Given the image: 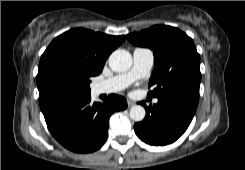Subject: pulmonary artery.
<instances>
[{
    "label": "pulmonary artery",
    "mask_w": 245,
    "mask_h": 170,
    "mask_svg": "<svg viewBox=\"0 0 245 170\" xmlns=\"http://www.w3.org/2000/svg\"><path fill=\"white\" fill-rule=\"evenodd\" d=\"M154 62V54L148 48H136L133 51V66L127 73L119 74L107 80L99 82L95 85L97 94L116 93L127 88L135 80L147 75L152 68ZM158 100L155 99L154 103Z\"/></svg>",
    "instance_id": "pulmonary-artery-1"
}]
</instances>
